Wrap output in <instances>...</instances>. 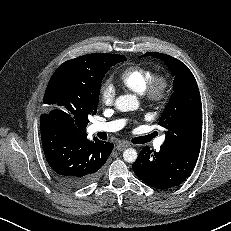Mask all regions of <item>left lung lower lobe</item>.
<instances>
[{"label": "left lung lower lobe", "mask_w": 231, "mask_h": 231, "mask_svg": "<svg viewBox=\"0 0 231 231\" xmlns=\"http://www.w3.org/2000/svg\"><path fill=\"white\" fill-rule=\"evenodd\" d=\"M199 155L171 150L161 146L159 152L143 147L132 168L136 176L156 189L181 184L193 171Z\"/></svg>", "instance_id": "left-lung-lower-lobe-1"}]
</instances>
